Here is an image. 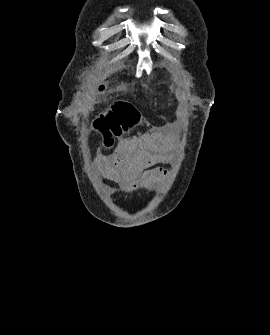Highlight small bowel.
I'll use <instances>...</instances> for the list:
<instances>
[{"label": "small bowel", "instance_id": "obj_1", "mask_svg": "<svg viewBox=\"0 0 270 335\" xmlns=\"http://www.w3.org/2000/svg\"><path fill=\"white\" fill-rule=\"evenodd\" d=\"M174 134L173 125L166 124L125 139L112 154L97 157V169L105 178L121 185L122 195L139 186L152 190L168 176L167 170L158 165L170 161Z\"/></svg>", "mask_w": 270, "mask_h": 335}]
</instances>
